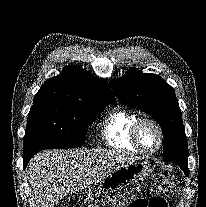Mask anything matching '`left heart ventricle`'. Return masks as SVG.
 I'll use <instances>...</instances> for the list:
<instances>
[{"label":"left heart ventricle","mask_w":206,"mask_h":207,"mask_svg":"<svg viewBox=\"0 0 206 207\" xmlns=\"http://www.w3.org/2000/svg\"><path fill=\"white\" fill-rule=\"evenodd\" d=\"M139 139L146 149H154L159 142L157 129L150 123H144L139 130Z\"/></svg>","instance_id":"1"}]
</instances>
